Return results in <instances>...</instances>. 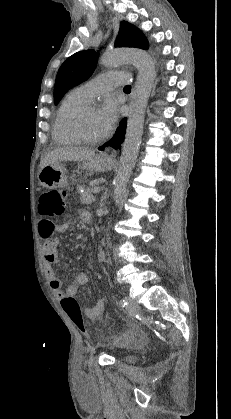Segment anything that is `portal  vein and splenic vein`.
Wrapping results in <instances>:
<instances>
[{"mask_svg":"<svg viewBox=\"0 0 231 419\" xmlns=\"http://www.w3.org/2000/svg\"><path fill=\"white\" fill-rule=\"evenodd\" d=\"M92 192L93 193H99L100 192V188L99 187H95V188H93V190H92Z\"/></svg>","mask_w":231,"mask_h":419,"instance_id":"portal-vein-and-splenic-vein-1","label":"portal vein and splenic vein"}]
</instances>
